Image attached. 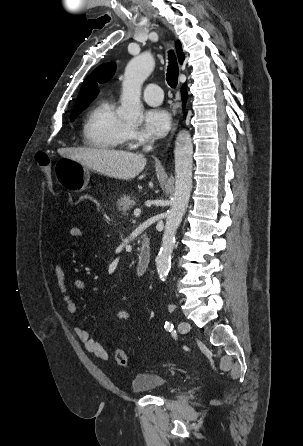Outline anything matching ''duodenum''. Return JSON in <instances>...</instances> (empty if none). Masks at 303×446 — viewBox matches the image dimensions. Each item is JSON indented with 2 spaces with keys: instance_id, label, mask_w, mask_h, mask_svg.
<instances>
[{
  "instance_id": "410a0bca",
  "label": "duodenum",
  "mask_w": 303,
  "mask_h": 446,
  "mask_svg": "<svg viewBox=\"0 0 303 446\" xmlns=\"http://www.w3.org/2000/svg\"><path fill=\"white\" fill-rule=\"evenodd\" d=\"M152 257L151 244L148 237H143L141 241L140 252L136 264V272L143 275L149 268Z\"/></svg>"
}]
</instances>
